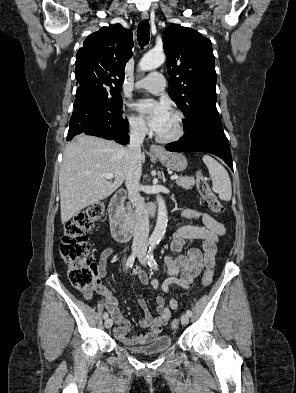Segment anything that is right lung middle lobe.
<instances>
[{
	"instance_id": "dd1d6c3e",
	"label": "right lung middle lobe",
	"mask_w": 296,
	"mask_h": 393,
	"mask_svg": "<svg viewBox=\"0 0 296 393\" xmlns=\"http://www.w3.org/2000/svg\"><path fill=\"white\" fill-rule=\"evenodd\" d=\"M80 89L86 90L101 104L108 107L115 114H122V98L119 94L120 89L102 80L93 77H86L77 80Z\"/></svg>"
}]
</instances>
